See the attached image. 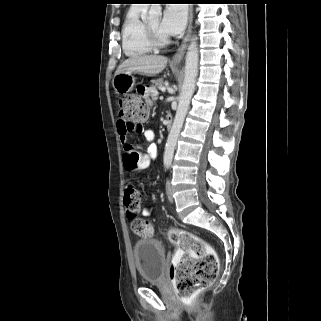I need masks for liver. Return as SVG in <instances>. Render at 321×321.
I'll return each instance as SVG.
<instances>
[{
	"label": "liver",
	"mask_w": 321,
	"mask_h": 321,
	"mask_svg": "<svg viewBox=\"0 0 321 321\" xmlns=\"http://www.w3.org/2000/svg\"><path fill=\"white\" fill-rule=\"evenodd\" d=\"M167 58L159 55L133 56L126 59L116 70L115 75L123 72H138L153 76L161 73L166 65Z\"/></svg>",
	"instance_id": "liver-1"
}]
</instances>
